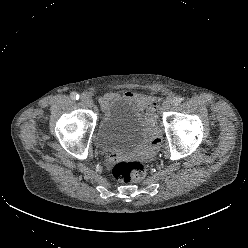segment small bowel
I'll return each mask as SVG.
<instances>
[{"label": "small bowel", "instance_id": "obj_1", "mask_svg": "<svg viewBox=\"0 0 248 248\" xmlns=\"http://www.w3.org/2000/svg\"><path fill=\"white\" fill-rule=\"evenodd\" d=\"M126 97H128L129 99H131L135 104H137L140 107H148V106H152L154 104V102L152 101V99L149 96L143 95V94H138V93H126L125 94ZM115 97L114 93H109L107 95H105L104 97L101 98L100 103L102 108H106L109 104V102ZM154 143H158V139H156L154 141Z\"/></svg>", "mask_w": 248, "mask_h": 248}]
</instances>
